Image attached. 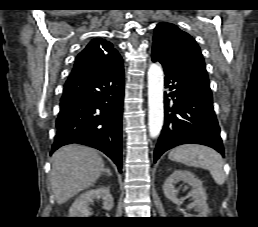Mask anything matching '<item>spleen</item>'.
Listing matches in <instances>:
<instances>
[{
    "mask_svg": "<svg viewBox=\"0 0 258 227\" xmlns=\"http://www.w3.org/2000/svg\"><path fill=\"white\" fill-rule=\"evenodd\" d=\"M168 158L187 166L209 170L218 185H222L225 182L223 159L221 155L212 148L195 144L181 145L171 150Z\"/></svg>",
    "mask_w": 258,
    "mask_h": 227,
    "instance_id": "spleen-1",
    "label": "spleen"
}]
</instances>
